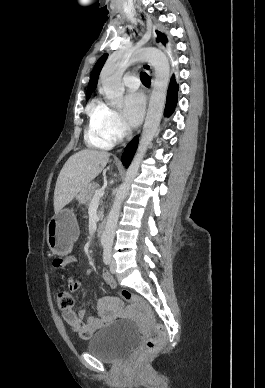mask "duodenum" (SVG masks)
<instances>
[{
  "mask_svg": "<svg viewBox=\"0 0 265 388\" xmlns=\"http://www.w3.org/2000/svg\"><path fill=\"white\" fill-rule=\"evenodd\" d=\"M106 221L105 220H102L99 224H98V227H97V234L98 236H102L105 232V229H106Z\"/></svg>",
  "mask_w": 265,
  "mask_h": 388,
  "instance_id": "410a0bca",
  "label": "duodenum"
}]
</instances>
